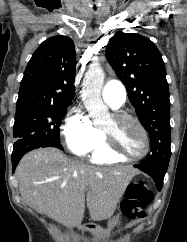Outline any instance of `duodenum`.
<instances>
[{
  "mask_svg": "<svg viewBox=\"0 0 187 242\" xmlns=\"http://www.w3.org/2000/svg\"><path fill=\"white\" fill-rule=\"evenodd\" d=\"M79 229L82 231V232H90L92 231V226L90 224H82Z\"/></svg>",
  "mask_w": 187,
  "mask_h": 242,
  "instance_id": "1",
  "label": "duodenum"
}]
</instances>
